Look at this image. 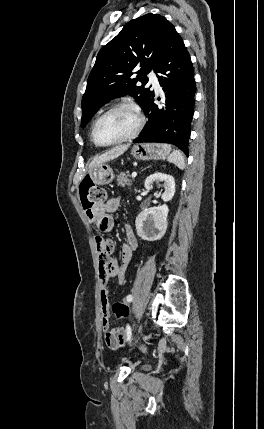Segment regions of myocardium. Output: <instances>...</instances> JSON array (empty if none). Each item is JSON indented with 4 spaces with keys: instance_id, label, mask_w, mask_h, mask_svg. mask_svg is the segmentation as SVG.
<instances>
[{
    "instance_id": "1",
    "label": "myocardium",
    "mask_w": 264,
    "mask_h": 429,
    "mask_svg": "<svg viewBox=\"0 0 264 429\" xmlns=\"http://www.w3.org/2000/svg\"><path fill=\"white\" fill-rule=\"evenodd\" d=\"M116 111H127L130 112L136 119V125L133 129V131L128 134L127 136L115 140L113 142H109V143H100L95 136V132H96V128L98 123L107 115L116 112ZM144 126V117L142 115V113L140 112V110L137 108V106H135L134 104L131 103H119L116 104L112 107H110L109 109H107L106 111H104L101 115H99L97 117V119L94 121V124L92 126V130H91V138L92 141L94 142L95 145L99 146V147H109V146H113V145H117V144H121L130 140H133L134 138H136L140 132L142 131Z\"/></svg>"
}]
</instances>
